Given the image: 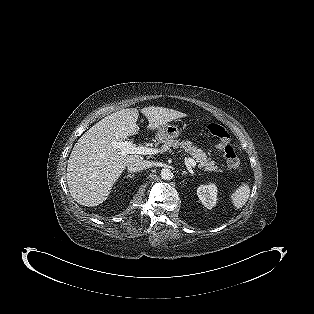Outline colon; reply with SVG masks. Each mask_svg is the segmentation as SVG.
I'll return each instance as SVG.
<instances>
[{
	"label": "colon",
	"mask_w": 314,
	"mask_h": 314,
	"mask_svg": "<svg viewBox=\"0 0 314 314\" xmlns=\"http://www.w3.org/2000/svg\"><path fill=\"white\" fill-rule=\"evenodd\" d=\"M207 130L217 140V148L222 152L228 166L232 169H239L241 160L236 149L230 144L228 131L218 123H210Z\"/></svg>",
	"instance_id": "5ec220e1"
}]
</instances>
